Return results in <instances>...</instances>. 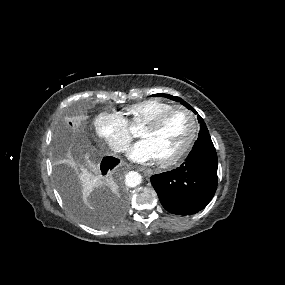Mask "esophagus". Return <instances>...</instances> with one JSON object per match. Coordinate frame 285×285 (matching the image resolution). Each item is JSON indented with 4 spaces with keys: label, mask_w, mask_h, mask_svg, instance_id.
I'll return each instance as SVG.
<instances>
[{
    "label": "esophagus",
    "mask_w": 285,
    "mask_h": 285,
    "mask_svg": "<svg viewBox=\"0 0 285 285\" xmlns=\"http://www.w3.org/2000/svg\"><path fill=\"white\" fill-rule=\"evenodd\" d=\"M140 171H142L145 175H150L153 172L152 169L147 168V167L140 168Z\"/></svg>",
    "instance_id": "obj_1"
}]
</instances>
